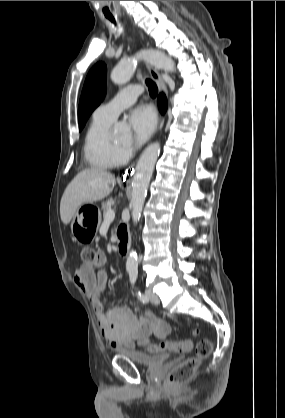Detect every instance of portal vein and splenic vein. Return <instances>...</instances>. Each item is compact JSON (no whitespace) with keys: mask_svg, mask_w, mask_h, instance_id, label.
<instances>
[{"mask_svg":"<svg viewBox=\"0 0 285 418\" xmlns=\"http://www.w3.org/2000/svg\"><path fill=\"white\" fill-rule=\"evenodd\" d=\"M115 218V212L112 209H109L104 215L105 222H112Z\"/></svg>","mask_w":285,"mask_h":418,"instance_id":"obj_1","label":"portal vein and splenic vein"}]
</instances>
